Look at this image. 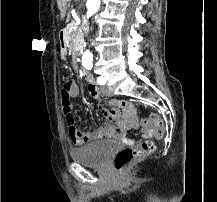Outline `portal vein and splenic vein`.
<instances>
[{
	"mask_svg": "<svg viewBox=\"0 0 217 202\" xmlns=\"http://www.w3.org/2000/svg\"><path fill=\"white\" fill-rule=\"evenodd\" d=\"M75 26H79V24H77V22H76Z\"/></svg>",
	"mask_w": 217,
	"mask_h": 202,
	"instance_id": "obj_1",
	"label": "portal vein and splenic vein"
}]
</instances>
